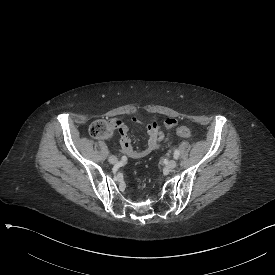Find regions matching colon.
<instances>
[{"instance_id": "colon-1", "label": "colon", "mask_w": 275, "mask_h": 275, "mask_svg": "<svg viewBox=\"0 0 275 275\" xmlns=\"http://www.w3.org/2000/svg\"><path fill=\"white\" fill-rule=\"evenodd\" d=\"M112 121L113 119L105 117L96 119L89 127L90 135L96 139H104L108 137L112 131H114ZM176 133L178 136L183 138H190L192 135L189 128L181 125L176 127Z\"/></svg>"}]
</instances>
